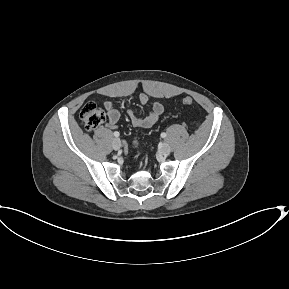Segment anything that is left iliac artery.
Returning <instances> with one entry per match:
<instances>
[{
  "mask_svg": "<svg viewBox=\"0 0 289 289\" xmlns=\"http://www.w3.org/2000/svg\"><path fill=\"white\" fill-rule=\"evenodd\" d=\"M161 137H162V138H165V137H166V133H164V132L161 133Z\"/></svg>",
  "mask_w": 289,
  "mask_h": 289,
  "instance_id": "obj_1",
  "label": "left iliac artery"
}]
</instances>
